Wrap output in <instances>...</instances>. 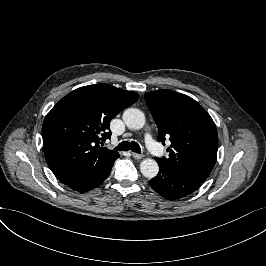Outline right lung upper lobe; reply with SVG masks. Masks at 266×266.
<instances>
[{
  "label": "right lung upper lobe",
  "mask_w": 266,
  "mask_h": 266,
  "mask_svg": "<svg viewBox=\"0 0 266 266\" xmlns=\"http://www.w3.org/2000/svg\"><path fill=\"white\" fill-rule=\"evenodd\" d=\"M138 98L135 92L95 84L72 91L53 107L43 122V148L50 169L63 184L86 170L111 165L119 157L98 145L99 134L103 141L110 138L111 119Z\"/></svg>",
  "instance_id": "right-lung-upper-lobe-1"
}]
</instances>
